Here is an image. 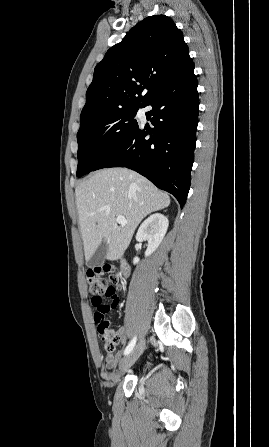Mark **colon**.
I'll use <instances>...</instances> for the list:
<instances>
[{"label": "colon", "mask_w": 269, "mask_h": 447, "mask_svg": "<svg viewBox=\"0 0 269 447\" xmlns=\"http://www.w3.org/2000/svg\"><path fill=\"white\" fill-rule=\"evenodd\" d=\"M89 293L94 296L92 301L94 302L97 312L94 313V318L98 325V332L101 339L106 343L107 350H112L119 342V335L114 333L110 327V322L105 316L110 310L117 304L118 301L111 305L102 304L99 296H110L118 292L120 287V281L118 277L112 273H103L99 266H92L90 271L86 274Z\"/></svg>", "instance_id": "colon-1"}]
</instances>
